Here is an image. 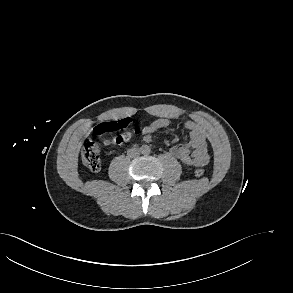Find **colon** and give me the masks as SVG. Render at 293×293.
<instances>
[{"label": "colon", "mask_w": 293, "mask_h": 293, "mask_svg": "<svg viewBox=\"0 0 293 293\" xmlns=\"http://www.w3.org/2000/svg\"><path fill=\"white\" fill-rule=\"evenodd\" d=\"M141 132L139 126H132L129 119H123L120 121L104 122L99 124L95 128L97 135L113 134L111 143L115 145H122L132 139L133 136L138 135ZM81 158L84 166L93 172L100 169V146L95 141H88L82 148ZM195 176L201 177L204 174V169L197 168L194 171Z\"/></svg>", "instance_id": "5ec220e1"}]
</instances>
